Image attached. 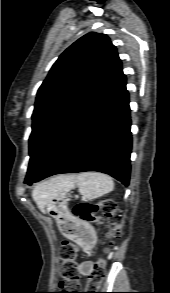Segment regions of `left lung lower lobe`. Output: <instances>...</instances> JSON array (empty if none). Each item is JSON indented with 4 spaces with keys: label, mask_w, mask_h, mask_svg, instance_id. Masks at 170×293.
Instances as JSON below:
<instances>
[{
    "label": "left lung lower lobe",
    "mask_w": 170,
    "mask_h": 293,
    "mask_svg": "<svg viewBox=\"0 0 170 293\" xmlns=\"http://www.w3.org/2000/svg\"><path fill=\"white\" fill-rule=\"evenodd\" d=\"M129 95L124 74L105 100L88 116L61 152L40 173L25 179L31 185L60 173L98 171L128 186L130 179Z\"/></svg>",
    "instance_id": "left-lung-lower-lobe-1"
}]
</instances>
